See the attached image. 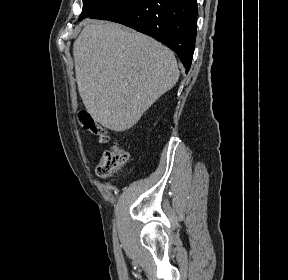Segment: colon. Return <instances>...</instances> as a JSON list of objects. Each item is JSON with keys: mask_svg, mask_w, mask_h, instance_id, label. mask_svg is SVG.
<instances>
[{"mask_svg": "<svg viewBox=\"0 0 288 280\" xmlns=\"http://www.w3.org/2000/svg\"><path fill=\"white\" fill-rule=\"evenodd\" d=\"M79 122L82 127L101 142L109 141L110 137L107 130L96 120L88 111H80L78 114ZM129 158L128 150L120 145H113L106 149L97 166V174L101 178H108L122 168Z\"/></svg>", "mask_w": 288, "mask_h": 280, "instance_id": "obj_1", "label": "colon"}]
</instances>
